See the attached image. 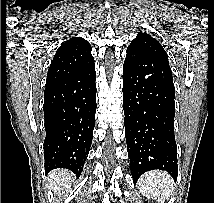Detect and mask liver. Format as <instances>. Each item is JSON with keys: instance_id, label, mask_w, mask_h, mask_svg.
Segmentation results:
<instances>
[{"instance_id": "liver-1", "label": "liver", "mask_w": 214, "mask_h": 203, "mask_svg": "<svg viewBox=\"0 0 214 203\" xmlns=\"http://www.w3.org/2000/svg\"><path fill=\"white\" fill-rule=\"evenodd\" d=\"M73 174L68 170L57 169L53 170L49 176L50 188L55 194L61 196L68 189H70V181L72 180Z\"/></svg>"}]
</instances>
